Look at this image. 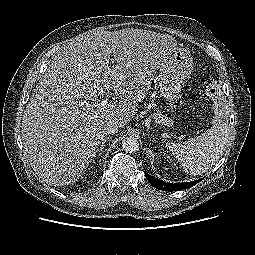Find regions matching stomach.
Here are the masks:
<instances>
[{
	"mask_svg": "<svg viewBox=\"0 0 255 255\" xmlns=\"http://www.w3.org/2000/svg\"><path fill=\"white\" fill-rule=\"evenodd\" d=\"M193 63L190 52L177 47L160 67L158 84L162 97L172 99L189 77Z\"/></svg>",
	"mask_w": 255,
	"mask_h": 255,
	"instance_id": "0dacf381",
	"label": "stomach"
}]
</instances>
